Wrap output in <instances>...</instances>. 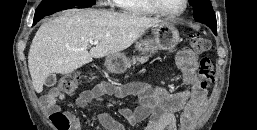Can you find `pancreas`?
<instances>
[{
	"label": "pancreas",
	"instance_id": "cf45deb5",
	"mask_svg": "<svg viewBox=\"0 0 257 130\" xmlns=\"http://www.w3.org/2000/svg\"><path fill=\"white\" fill-rule=\"evenodd\" d=\"M148 60V56H142V57H133L132 60H128L127 63H126V66L127 67H130L131 64L132 65H135L137 63H145L146 61Z\"/></svg>",
	"mask_w": 257,
	"mask_h": 130
}]
</instances>
